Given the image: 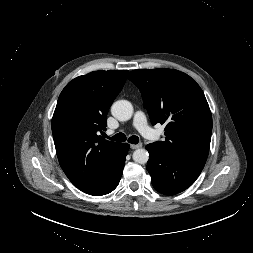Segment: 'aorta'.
<instances>
[{
	"mask_svg": "<svg viewBox=\"0 0 253 253\" xmlns=\"http://www.w3.org/2000/svg\"><path fill=\"white\" fill-rule=\"evenodd\" d=\"M112 115L120 120L127 121L133 115V106L127 100H118L111 106ZM149 159V153L145 149H137L133 152V160L139 164H146Z\"/></svg>",
	"mask_w": 253,
	"mask_h": 253,
	"instance_id": "762f6f07",
	"label": "aorta"
}]
</instances>
